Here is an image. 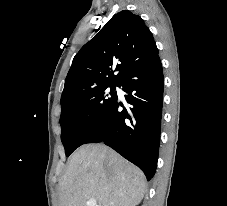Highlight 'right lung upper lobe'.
<instances>
[{
	"label": "right lung upper lobe",
	"instance_id": "cb5924a9",
	"mask_svg": "<svg viewBox=\"0 0 227 206\" xmlns=\"http://www.w3.org/2000/svg\"><path fill=\"white\" fill-rule=\"evenodd\" d=\"M157 56L156 43L143 19L123 10L76 54L61 100L95 87L120 84L131 70Z\"/></svg>",
	"mask_w": 227,
	"mask_h": 206
}]
</instances>
